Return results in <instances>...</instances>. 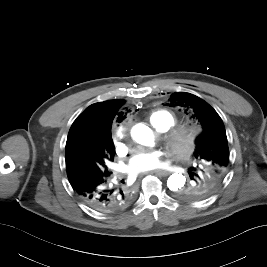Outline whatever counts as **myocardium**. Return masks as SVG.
Returning <instances> with one entry per match:
<instances>
[{"mask_svg": "<svg viewBox=\"0 0 267 267\" xmlns=\"http://www.w3.org/2000/svg\"><path fill=\"white\" fill-rule=\"evenodd\" d=\"M195 139L196 132L194 129L177 127L165 134L164 144L172 154L182 157L192 151Z\"/></svg>", "mask_w": 267, "mask_h": 267, "instance_id": "f54148a6", "label": "myocardium"}]
</instances>
